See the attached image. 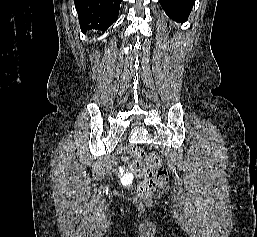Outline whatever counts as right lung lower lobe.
Masks as SVG:
<instances>
[{"mask_svg": "<svg viewBox=\"0 0 257 237\" xmlns=\"http://www.w3.org/2000/svg\"><path fill=\"white\" fill-rule=\"evenodd\" d=\"M82 31H106L119 13L121 0H74Z\"/></svg>", "mask_w": 257, "mask_h": 237, "instance_id": "right-lung-lower-lobe-1", "label": "right lung lower lobe"}]
</instances>
